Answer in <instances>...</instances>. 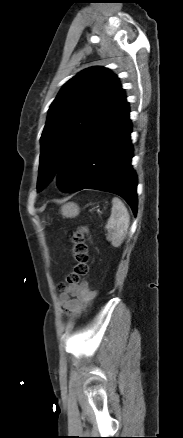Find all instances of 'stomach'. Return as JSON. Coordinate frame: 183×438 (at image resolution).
Listing matches in <instances>:
<instances>
[{
  "label": "stomach",
  "instance_id": "0dacf381",
  "mask_svg": "<svg viewBox=\"0 0 183 438\" xmlns=\"http://www.w3.org/2000/svg\"><path fill=\"white\" fill-rule=\"evenodd\" d=\"M61 213L67 218H73L79 214V207L77 204L69 202L62 206Z\"/></svg>",
  "mask_w": 183,
  "mask_h": 438
}]
</instances>
